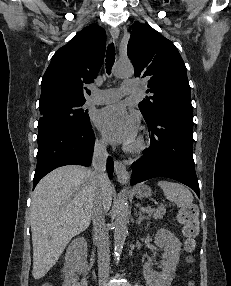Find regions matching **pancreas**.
Segmentation results:
<instances>
[{
    "label": "pancreas",
    "instance_id": "pancreas-1",
    "mask_svg": "<svg viewBox=\"0 0 231 286\" xmlns=\"http://www.w3.org/2000/svg\"><path fill=\"white\" fill-rule=\"evenodd\" d=\"M165 213L166 209L164 207H160L158 209H154L153 211L148 212L149 216H152L155 219H162Z\"/></svg>",
    "mask_w": 231,
    "mask_h": 286
}]
</instances>
